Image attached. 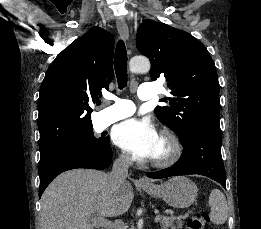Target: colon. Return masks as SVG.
<instances>
[{
	"mask_svg": "<svg viewBox=\"0 0 261 229\" xmlns=\"http://www.w3.org/2000/svg\"><path fill=\"white\" fill-rule=\"evenodd\" d=\"M208 224V214L203 210H199L188 217L186 229H206Z\"/></svg>",
	"mask_w": 261,
	"mask_h": 229,
	"instance_id": "1",
	"label": "colon"
}]
</instances>
